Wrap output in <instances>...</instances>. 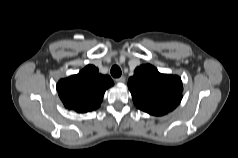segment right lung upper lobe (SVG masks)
Listing matches in <instances>:
<instances>
[{
    "instance_id": "right-lung-upper-lobe-1",
    "label": "right lung upper lobe",
    "mask_w": 238,
    "mask_h": 158,
    "mask_svg": "<svg viewBox=\"0 0 238 158\" xmlns=\"http://www.w3.org/2000/svg\"><path fill=\"white\" fill-rule=\"evenodd\" d=\"M112 85L108 75H101L95 66L88 65L78 74L61 79L57 91L66 108L85 113L100 106L105 91Z\"/></svg>"
}]
</instances>
